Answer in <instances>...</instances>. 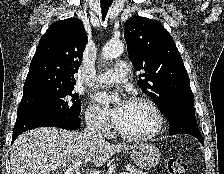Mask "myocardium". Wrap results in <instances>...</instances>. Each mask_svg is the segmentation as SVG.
Returning a JSON list of instances; mask_svg holds the SVG:
<instances>
[{"instance_id": "1", "label": "myocardium", "mask_w": 224, "mask_h": 174, "mask_svg": "<svg viewBox=\"0 0 224 174\" xmlns=\"http://www.w3.org/2000/svg\"><path fill=\"white\" fill-rule=\"evenodd\" d=\"M130 103L147 105L155 115L156 125L153 130L144 134H128L117 128V133L124 139L131 141H144L157 136L164 127V116L158 105L150 98L144 96L134 97Z\"/></svg>"}]
</instances>
